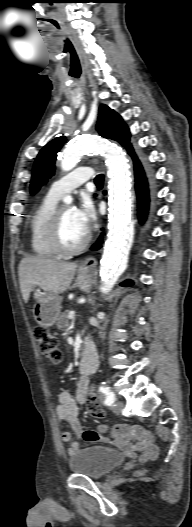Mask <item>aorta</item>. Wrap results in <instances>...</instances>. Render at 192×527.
I'll return each mask as SVG.
<instances>
[{
  "mask_svg": "<svg viewBox=\"0 0 192 527\" xmlns=\"http://www.w3.org/2000/svg\"><path fill=\"white\" fill-rule=\"evenodd\" d=\"M85 153H103L109 168V231L101 259L100 275L110 290L127 266L134 228L131 223V173L121 148L96 136H82L68 143L61 169L72 170ZM66 201L71 199L67 197Z\"/></svg>",
  "mask_w": 192,
  "mask_h": 527,
  "instance_id": "obj_1",
  "label": "aorta"
}]
</instances>
